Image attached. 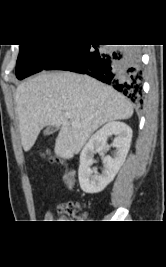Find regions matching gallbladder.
Returning <instances> with one entry per match:
<instances>
[{
  "instance_id": "1",
  "label": "gallbladder",
  "mask_w": 166,
  "mask_h": 267,
  "mask_svg": "<svg viewBox=\"0 0 166 267\" xmlns=\"http://www.w3.org/2000/svg\"><path fill=\"white\" fill-rule=\"evenodd\" d=\"M59 129L58 126H50V127H47L44 131V135H50L52 133H54L55 131H57Z\"/></svg>"
}]
</instances>
